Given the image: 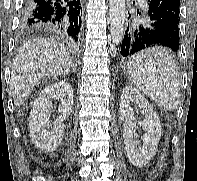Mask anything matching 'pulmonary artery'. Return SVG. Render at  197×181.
Masks as SVG:
<instances>
[{
    "label": "pulmonary artery",
    "mask_w": 197,
    "mask_h": 181,
    "mask_svg": "<svg viewBox=\"0 0 197 181\" xmlns=\"http://www.w3.org/2000/svg\"><path fill=\"white\" fill-rule=\"evenodd\" d=\"M141 3L142 8L147 9L148 8V4L146 2V0H139Z\"/></svg>",
    "instance_id": "pulmonary-artery-1"
}]
</instances>
